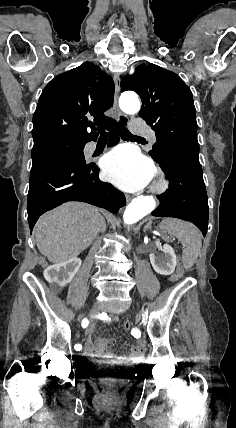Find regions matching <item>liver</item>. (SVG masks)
<instances>
[{
	"mask_svg": "<svg viewBox=\"0 0 236 428\" xmlns=\"http://www.w3.org/2000/svg\"><path fill=\"white\" fill-rule=\"evenodd\" d=\"M105 228L97 208L67 202L39 218L34 228L36 246L49 262L61 264L84 252Z\"/></svg>",
	"mask_w": 236,
	"mask_h": 428,
	"instance_id": "obj_1",
	"label": "liver"
}]
</instances>
